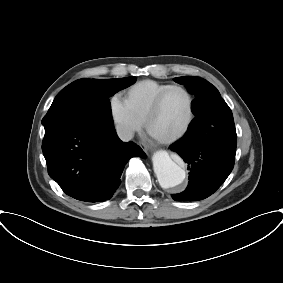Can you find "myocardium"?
Wrapping results in <instances>:
<instances>
[{"instance_id":"obj_1","label":"myocardium","mask_w":283,"mask_h":283,"mask_svg":"<svg viewBox=\"0 0 283 283\" xmlns=\"http://www.w3.org/2000/svg\"><path fill=\"white\" fill-rule=\"evenodd\" d=\"M172 90H181V91L185 92V94L187 95L188 101H189L188 117H187L184 125L180 128V130H178L173 135L168 136V137H156V136L151 134L150 124H151L152 120L155 118V116L158 114V112L161 108V105L163 103V100L165 99L167 94ZM194 116H195V100H194V96H193L192 92L187 87H185L183 85L173 84V85H170L167 88H165L156 97V99L154 100L149 112L146 115V118H145V121H144V126H145L147 133L150 134L152 137H154L156 140H158L161 143L169 144V143H173V142L179 140L180 138H182L186 134V132L188 131V129L190 128V126H191V124L194 120Z\"/></svg>"}]
</instances>
